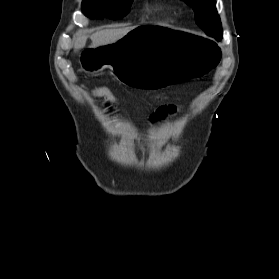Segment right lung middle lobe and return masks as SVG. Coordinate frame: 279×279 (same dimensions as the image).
<instances>
[{
  "instance_id": "right-lung-middle-lobe-1",
  "label": "right lung middle lobe",
  "mask_w": 279,
  "mask_h": 279,
  "mask_svg": "<svg viewBox=\"0 0 279 279\" xmlns=\"http://www.w3.org/2000/svg\"><path fill=\"white\" fill-rule=\"evenodd\" d=\"M133 0H83L82 12L90 18L120 19L124 17Z\"/></svg>"
}]
</instances>
